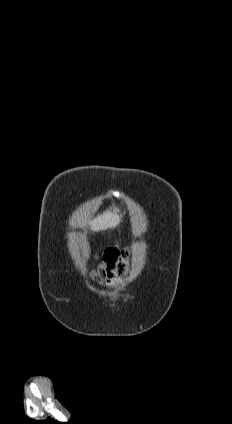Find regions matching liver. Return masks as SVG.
I'll list each match as a JSON object with an SVG mask.
<instances>
[{
	"instance_id": "obj_1",
	"label": "liver",
	"mask_w": 232,
	"mask_h": 424,
	"mask_svg": "<svg viewBox=\"0 0 232 424\" xmlns=\"http://www.w3.org/2000/svg\"><path fill=\"white\" fill-rule=\"evenodd\" d=\"M118 212L119 210L117 208H114L113 211H105L90 222L91 230L93 232H99L109 228H115L121 221V216Z\"/></svg>"
}]
</instances>
